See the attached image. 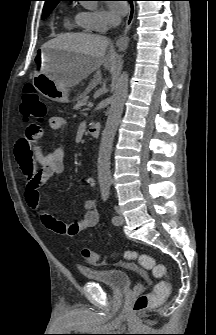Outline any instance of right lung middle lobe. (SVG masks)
I'll list each match as a JSON object with an SVG mask.
<instances>
[{
  "label": "right lung middle lobe",
  "mask_w": 216,
  "mask_h": 335,
  "mask_svg": "<svg viewBox=\"0 0 216 335\" xmlns=\"http://www.w3.org/2000/svg\"><path fill=\"white\" fill-rule=\"evenodd\" d=\"M56 5L57 4L44 6L43 13H42V19H45L50 14V12L55 8Z\"/></svg>",
  "instance_id": "obj_1"
}]
</instances>
